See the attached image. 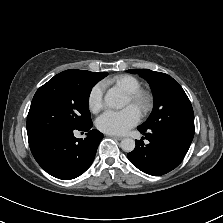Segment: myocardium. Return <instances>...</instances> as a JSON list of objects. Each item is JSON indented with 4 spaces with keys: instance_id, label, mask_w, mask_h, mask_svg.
<instances>
[{
    "instance_id": "f54148a6",
    "label": "myocardium",
    "mask_w": 223,
    "mask_h": 223,
    "mask_svg": "<svg viewBox=\"0 0 223 223\" xmlns=\"http://www.w3.org/2000/svg\"><path fill=\"white\" fill-rule=\"evenodd\" d=\"M128 99L130 103L137 107L142 113L150 111L153 105L152 96L143 90L128 94Z\"/></svg>"
}]
</instances>
